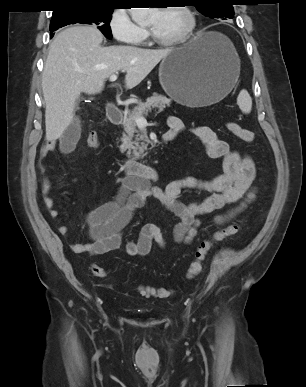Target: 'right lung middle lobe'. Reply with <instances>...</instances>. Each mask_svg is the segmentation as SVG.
I'll return each instance as SVG.
<instances>
[{
	"instance_id": "1",
	"label": "right lung middle lobe",
	"mask_w": 306,
	"mask_h": 387,
	"mask_svg": "<svg viewBox=\"0 0 306 387\" xmlns=\"http://www.w3.org/2000/svg\"><path fill=\"white\" fill-rule=\"evenodd\" d=\"M112 7H71L66 8L59 13L52 15L50 23V31H56L57 29L69 24L82 23L91 24L97 26V28L108 39L112 38L110 20L112 18ZM53 35V33H51Z\"/></svg>"
}]
</instances>
